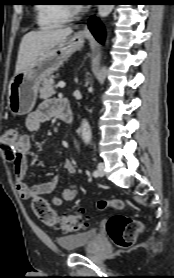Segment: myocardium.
I'll return each instance as SVG.
<instances>
[{
  "label": "myocardium",
  "instance_id": "1",
  "mask_svg": "<svg viewBox=\"0 0 174 278\" xmlns=\"http://www.w3.org/2000/svg\"><path fill=\"white\" fill-rule=\"evenodd\" d=\"M64 9L69 17L77 16L82 11L81 7L72 4L64 5Z\"/></svg>",
  "mask_w": 174,
  "mask_h": 278
}]
</instances>
